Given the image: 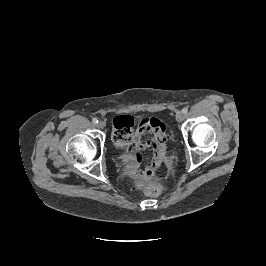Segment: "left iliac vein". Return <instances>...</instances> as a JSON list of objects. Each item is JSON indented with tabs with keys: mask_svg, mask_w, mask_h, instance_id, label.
Returning a JSON list of instances; mask_svg holds the SVG:
<instances>
[{
	"mask_svg": "<svg viewBox=\"0 0 266 266\" xmlns=\"http://www.w3.org/2000/svg\"><path fill=\"white\" fill-rule=\"evenodd\" d=\"M176 120L177 122H182L184 120V115L181 112L177 113Z\"/></svg>",
	"mask_w": 266,
	"mask_h": 266,
	"instance_id": "obj_1",
	"label": "left iliac vein"
}]
</instances>
